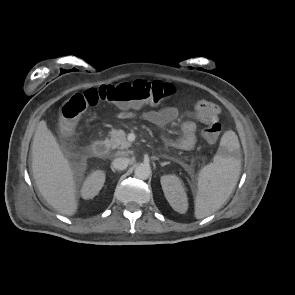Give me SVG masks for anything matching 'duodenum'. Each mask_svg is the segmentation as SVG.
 <instances>
[{
  "label": "duodenum",
  "instance_id": "410a0bca",
  "mask_svg": "<svg viewBox=\"0 0 295 295\" xmlns=\"http://www.w3.org/2000/svg\"><path fill=\"white\" fill-rule=\"evenodd\" d=\"M91 150L94 155L102 157L108 153L109 145L106 141L99 140L93 143V145L91 146Z\"/></svg>",
  "mask_w": 295,
  "mask_h": 295
}]
</instances>
